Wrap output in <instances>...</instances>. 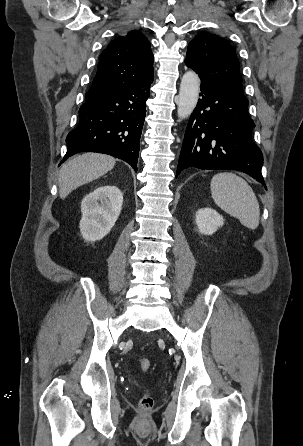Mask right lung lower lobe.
Returning <instances> with one entry per match:
<instances>
[{
	"instance_id": "right-lung-lower-lobe-1",
	"label": "right lung lower lobe",
	"mask_w": 303,
	"mask_h": 446,
	"mask_svg": "<svg viewBox=\"0 0 303 446\" xmlns=\"http://www.w3.org/2000/svg\"><path fill=\"white\" fill-rule=\"evenodd\" d=\"M152 82L153 77L86 99L78 126L67 135L68 149L61 163L79 152H98L120 158L136 170Z\"/></svg>"
}]
</instances>
